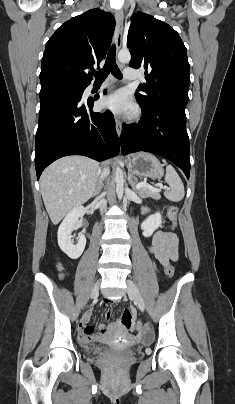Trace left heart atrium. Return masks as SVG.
<instances>
[{
    "instance_id": "obj_1",
    "label": "left heart atrium",
    "mask_w": 235,
    "mask_h": 404,
    "mask_svg": "<svg viewBox=\"0 0 235 404\" xmlns=\"http://www.w3.org/2000/svg\"><path fill=\"white\" fill-rule=\"evenodd\" d=\"M103 106L117 115H131L135 111L130 96L124 90H118L103 100Z\"/></svg>"
}]
</instances>
